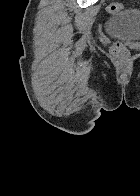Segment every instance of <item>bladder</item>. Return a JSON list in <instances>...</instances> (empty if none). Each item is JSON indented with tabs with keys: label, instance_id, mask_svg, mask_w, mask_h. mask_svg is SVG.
Masks as SVG:
<instances>
[{
	"label": "bladder",
	"instance_id": "31cf9c89",
	"mask_svg": "<svg viewBox=\"0 0 140 196\" xmlns=\"http://www.w3.org/2000/svg\"><path fill=\"white\" fill-rule=\"evenodd\" d=\"M112 34L130 40L140 38V13L132 9H122L115 13L110 26Z\"/></svg>",
	"mask_w": 140,
	"mask_h": 196
}]
</instances>
